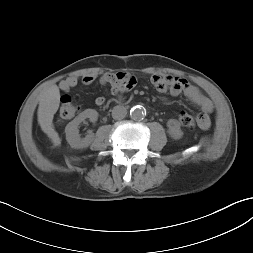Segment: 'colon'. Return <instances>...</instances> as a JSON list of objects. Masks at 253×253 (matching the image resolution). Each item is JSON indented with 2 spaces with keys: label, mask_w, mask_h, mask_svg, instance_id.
Segmentation results:
<instances>
[{
  "label": "colon",
  "mask_w": 253,
  "mask_h": 253,
  "mask_svg": "<svg viewBox=\"0 0 253 253\" xmlns=\"http://www.w3.org/2000/svg\"><path fill=\"white\" fill-rule=\"evenodd\" d=\"M80 110V106L78 103L72 100L70 96H63L61 99V105L58 112V123L63 124L66 121L75 117ZM178 121L181 126L188 128L190 130H194L198 124V120L192 116L191 114L181 111L178 114Z\"/></svg>",
  "instance_id": "5ec220e1"
}]
</instances>
